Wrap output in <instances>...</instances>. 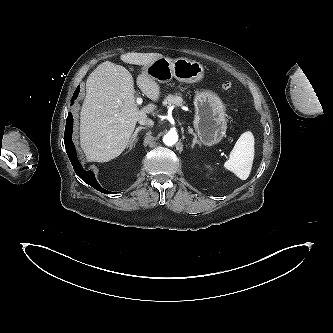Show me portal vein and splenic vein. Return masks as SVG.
Segmentation results:
<instances>
[{
  "label": "portal vein and splenic vein",
  "instance_id": "18ae733b",
  "mask_svg": "<svg viewBox=\"0 0 333 333\" xmlns=\"http://www.w3.org/2000/svg\"><path fill=\"white\" fill-rule=\"evenodd\" d=\"M142 102H143V99H142L141 97H138V98L136 99V103H137L138 105H141Z\"/></svg>",
  "mask_w": 333,
  "mask_h": 333
}]
</instances>
